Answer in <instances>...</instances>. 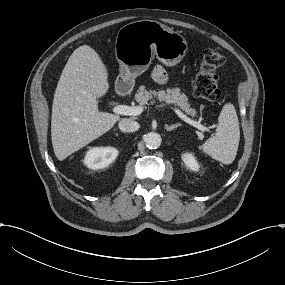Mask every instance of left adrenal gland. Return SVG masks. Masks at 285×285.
Returning <instances> with one entry per match:
<instances>
[{
    "instance_id": "a2214340",
    "label": "left adrenal gland",
    "mask_w": 285,
    "mask_h": 285,
    "mask_svg": "<svg viewBox=\"0 0 285 285\" xmlns=\"http://www.w3.org/2000/svg\"><path fill=\"white\" fill-rule=\"evenodd\" d=\"M179 126H182V124L181 123H176V124H173V125H170V126L165 124V129L167 131H172L173 129H175V128L179 127Z\"/></svg>"
}]
</instances>
